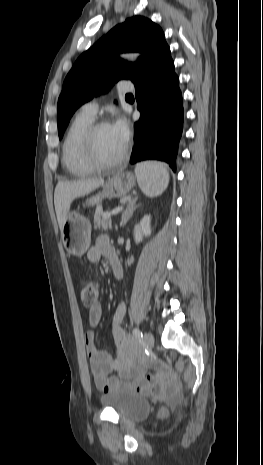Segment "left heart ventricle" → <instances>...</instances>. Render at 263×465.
Here are the masks:
<instances>
[{"mask_svg": "<svg viewBox=\"0 0 263 465\" xmlns=\"http://www.w3.org/2000/svg\"><path fill=\"white\" fill-rule=\"evenodd\" d=\"M96 151L103 161L116 159L123 151L125 144L116 136L111 126L101 128L95 138Z\"/></svg>", "mask_w": 263, "mask_h": 465, "instance_id": "b2bd125f", "label": "left heart ventricle"}]
</instances>
